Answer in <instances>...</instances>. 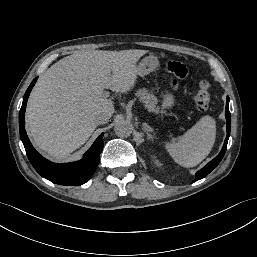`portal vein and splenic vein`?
Here are the masks:
<instances>
[{
  "mask_svg": "<svg viewBox=\"0 0 257 257\" xmlns=\"http://www.w3.org/2000/svg\"><path fill=\"white\" fill-rule=\"evenodd\" d=\"M103 95H104V97H109V92L108 91H104Z\"/></svg>",
  "mask_w": 257,
  "mask_h": 257,
  "instance_id": "portal-vein-and-splenic-vein-1",
  "label": "portal vein and splenic vein"
}]
</instances>
